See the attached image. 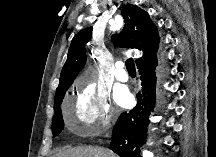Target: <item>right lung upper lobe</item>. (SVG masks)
I'll use <instances>...</instances> for the list:
<instances>
[{"instance_id": "right-lung-upper-lobe-1", "label": "right lung upper lobe", "mask_w": 216, "mask_h": 157, "mask_svg": "<svg viewBox=\"0 0 216 157\" xmlns=\"http://www.w3.org/2000/svg\"><path fill=\"white\" fill-rule=\"evenodd\" d=\"M124 28L119 34L112 37L118 47L136 48L143 51V56L136 60L137 66L148 62L157 54L159 36L157 28L152 23L147 12L133 4H127L122 9ZM92 35V27L81 30L72 39L67 60L60 74V82L56 96L67 87H70L78 72L86 62L85 44Z\"/></svg>"}]
</instances>
